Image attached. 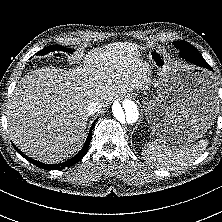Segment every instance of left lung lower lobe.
Here are the masks:
<instances>
[{"instance_id":"0a47b994","label":"left lung lower lobe","mask_w":222,"mask_h":222,"mask_svg":"<svg viewBox=\"0 0 222 222\" xmlns=\"http://www.w3.org/2000/svg\"><path fill=\"white\" fill-rule=\"evenodd\" d=\"M185 59L190 61V62H192V63H194V64H196V65H198V66H201V67H204V68L212 70V68L210 67L209 64H207V65L206 64H202L200 61L194 59L193 57L187 56Z\"/></svg>"}]
</instances>
